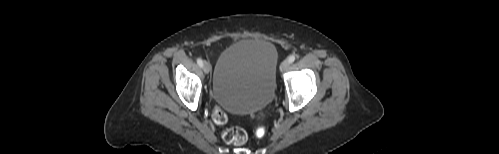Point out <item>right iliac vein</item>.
Returning <instances> with one entry per match:
<instances>
[{"instance_id": "63e3f726", "label": "right iliac vein", "mask_w": 499, "mask_h": 154, "mask_svg": "<svg viewBox=\"0 0 499 154\" xmlns=\"http://www.w3.org/2000/svg\"><path fill=\"white\" fill-rule=\"evenodd\" d=\"M202 67L205 74H208L210 72V65L208 62L205 61Z\"/></svg>"}]
</instances>
